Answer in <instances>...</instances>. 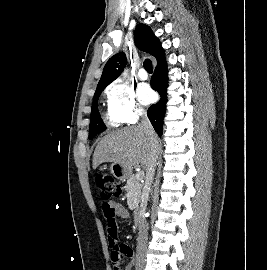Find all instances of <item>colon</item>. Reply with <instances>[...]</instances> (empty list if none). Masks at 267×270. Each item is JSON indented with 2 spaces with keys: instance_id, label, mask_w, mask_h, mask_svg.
Here are the masks:
<instances>
[{
  "instance_id": "1",
  "label": "colon",
  "mask_w": 267,
  "mask_h": 270,
  "mask_svg": "<svg viewBox=\"0 0 267 270\" xmlns=\"http://www.w3.org/2000/svg\"><path fill=\"white\" fill-rule=\"evenodd\" d=\"M95 183L100 191L101 199L108 202L121 194V187L109 174H99L95 178ZM113 270H121V258L117 255L111 258Z\"/></svg>"
}]
</instances>
